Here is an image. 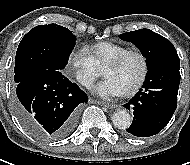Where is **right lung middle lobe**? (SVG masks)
Listing matches in <instances>:
<instances>
[{"label": "right lung middle lobe", "instance_id": "1", "mask_svg": "<svg viewBox=\"0 0 190 165\" xmlns=\"http://www.w3.org/2000/svg\"><path fill=\"white\" fill-rule=\"evenodd\" d=\"M72 32L57 24L39 25L21 40L15 57V82L43 70H62L75 46Z\"/></svg>", "mask_w": 190, "mask_h": 165}]
</instances>
